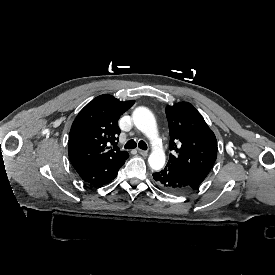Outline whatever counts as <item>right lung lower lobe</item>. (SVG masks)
I'll list each match as a JSON object with an SVG mask.
<instances>
[{
    "label": "right lung lower lobe",
    "mask_w": 275,
    "mask_h": 275,
    "mask_svg": "<svg viewBox=\"0 0 275 275\" xmlns=\"http://www.w3.org/2000/svg\"><path fill=\"white\" fill-rule=\"evenodd\" d=\"M127 158L121 161H102L77 169L76 171L85 182L95 186H102L111 182L116 177L119 168Z\"/></svg>",
    "instance_id": "98d812e1"
}]
</instances>
